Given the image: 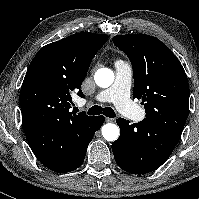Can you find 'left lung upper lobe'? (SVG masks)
<instances>
[{
    "mask_svg": "<svg viewBox=\"0 0 199 199\" xmlns=\"http://www.w3.org/2000/svg\"><path fill=\"white\" fill-rule=\"evenodd\" d=\"M114 44L133 67V98L142 99L146 118L182 133L189 112V84L172 51L145 34L118 35Z\"/></svg>",
    "mask_w": 199,
    "mask_h": 199,
    "instance_id": "5c2ea615",
    "label": "left lung upper lobe"
}]
</instances>
